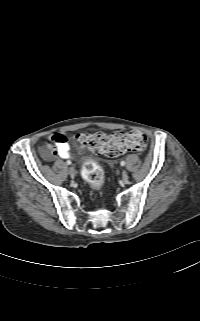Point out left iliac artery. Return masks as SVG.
I'll return each mask as SVG.
<instances>
[{"label": "left iliac artery", "instance_id": "obj_1", "mask_svg": "<svg viewBox=\"0 0 200 321\" xmlns=\"http://www.w3.org/2000/svg\"><path fill=\"white\" fill-rule=\"evenodd\" d=\"M121 166H124L125 165V161H121Z\"/></svg>", "mask_w": 200, "mask_h": 321}]
</instances>
